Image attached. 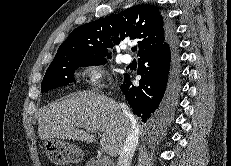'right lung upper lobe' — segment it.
Instances as JSON below:
<instances>
[{"label": "right lung upper lobe", "mask_w": 231, "mask_h": 166, "mask_svg": "<svg viewBox=\"0 0 231 166\" xmlns=\"http://www.w3.org/2000/svg\"><path fill=\"white\" fill-rule=\"evenodd\" d=\"M127 38L138 40V56L149 55L167 42V19L156 6L137 5L92 21L70 33L54 60L83 55L110 56L108 49Z\"/></svg>", "instance_id": "right-lung-upper-lobe-1"}]
</instances>
